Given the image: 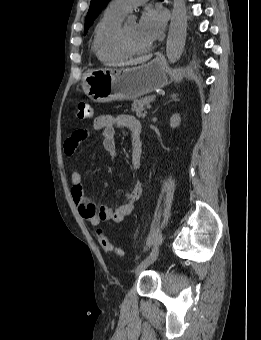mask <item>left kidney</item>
<instances>
[{"label": "left kidney", "instance_id": "5707ae66", "mask_svg": "<svg viewBox=\"0 0 261 340\" xmlns=\"http://www.w3.org/2000/svg\"><path fill=\"white\" fill-rule=\"evenodd\" d=\"M181 118L179 114H173L170 118V126L176 128L180 125Z\"/></svg>", "mask_w": 261, "mask_h": 340}]
</instances>
